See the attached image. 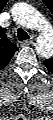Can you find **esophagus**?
Wrapping results in <instances>:
<instances>
[{
    "label": "esophagus",
    "mask_w": 53,
    "mask_h": 120,
    "mask_svg": "<svg viewBox=\"0 0 53 120\" xmlns=\"http://www.w3.org/2000/svg\"><path fill=\"white\" fill-rule=\"evenodd\" d=\"M34 38H31L29 40H26V41H23L22 42V45H30V44H33L34 43Z\"/></svg>",
    "instance_id": "1"
}]
</instances>
